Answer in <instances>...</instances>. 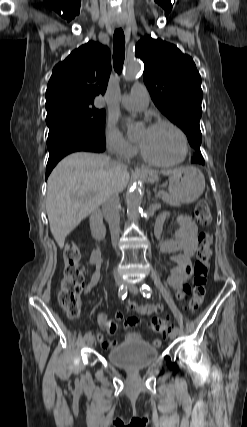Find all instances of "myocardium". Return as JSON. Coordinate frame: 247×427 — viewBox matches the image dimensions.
<instances>
[{
  "instance_id": "obj_1",
  "label": "myocardium",
  "mask_w": 247,
  "mask_h": 427,
  "mask_svg": "<svg viewBox=\"0 0 247 427\" xmlns=\"http://www.w3.org/2000/svg\"><path fill=\"white\" fill-rule=\"evenodd\" d=\"M163 126L171 128L179 136L180 141H181V154H180V156L173 161L155 160L146 154V152L143 150V148L141 147L140 144L138 145L139 153H140V155L144 161H146L147 163L154 165V166L172 167V166L179 165L180 163H182L185 160V158L188 154L187 136L179 126H177L176 124H174L173 122H171L169 120H158V121L152 123L149 126V128H157V127H163Z\"/></svg>"
}]
</instances>
